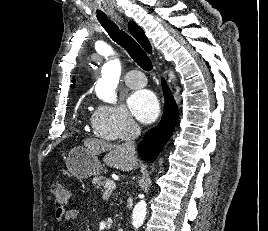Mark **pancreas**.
<instances>
[{
    "label": "pancreas",
    "mask_w": 268,
    "mask_h": 231,
    "mask_svg": "<svg viewBox=\"0 0 268 231\" xmlns=\"http://www.w3.org/2000/svg\"><path fill=\"white\" fill-rule=\"evenodd\" d=\"M108 180L109 179H107L104 176L97 175V176L94 177V179L92 181V184L95 186V188L99 189L100 187H104L106 181H108Z\"/></svg>",
    "instance_id": "1"
}]
</instances>
